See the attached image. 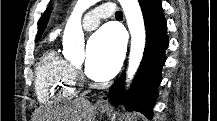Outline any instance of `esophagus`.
<instances>
[{"mask_svg": "<svg viewBox=\"0 0 217 121\" xmlns=\"http://www.w3.org/2000/svg\"><path fill=\"white\" fill-rule=\"evenodd\" d=\"M98 106H107L108 105V98L105 94L101 95L97 100Z\"/></svg>", "mask_w": 217, "mask_h": 121, "instance_id": "esophagus-1", "label": "esophagus"}]
</instances>
